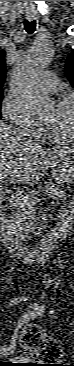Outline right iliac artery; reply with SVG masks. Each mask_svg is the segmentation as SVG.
<instances>
[{"label":"right iliac artery","instance_id":"82829eb1","mask_svg":"<svg viewBox=\"0 0 74 366\" xmlns=\"http://www.w3.org/2000/svg\"><path fill=\"white\" fill-rule=\"evenodd\" d=\"M26 301L27 300V298L26 297H22V298H14V299H12L11 300V302L9 303V305L10 306H12V305H16L17 303H19L20 301Z\"/></svg>","mask_w":74,"mask_h":366}]
</instances>
